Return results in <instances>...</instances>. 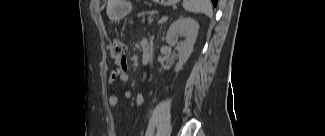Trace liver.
Wrapping results in <instances>:
<instances>
[{"label": "liver", "instance_id": "obj_1", "mask_svg": "<svg viewBox=\"0 0 325 136\" xmlns=\"http://www.w3.org/2000/svg\"><path fill=\"white\" fill-rule=\"evenodd\" d=\"M116 2H117V0H108V3H107V15L109 16V18L111 20H113L112 11H113V8H114Z\"/></svg>", "mask_w": 325, "mask_h": 136}]
</instances>
